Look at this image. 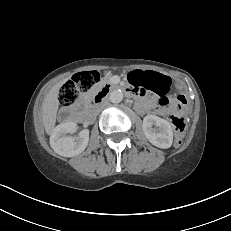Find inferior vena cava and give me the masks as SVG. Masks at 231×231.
I'll list each match as a JSON object with an SVG mask.
<instances>
[{"label":"inferior vena cava","instance_id":"inferior-vena-cava-1","mask_svg":"<svg viewBox=\"0 0 231 231\" xmlns=\"http://www.w3.org/2000/svg\"><path fill=\"white\" fill-rule=\"evenodd\" d=\"M106 103H107V102L105 101L104 104L100 107L99 110H101L103 107H105Z\"/></svg>","mask_w":231,"mask_h":231}]
</instances>
